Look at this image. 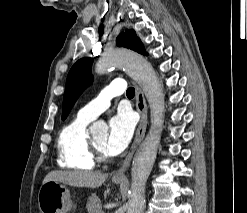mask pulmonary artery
I'll use <instances>...</instances> for the list:
<instances>
[{"mask_svg":"<svg viewBox=\"0 0 247 213\" xmlns=\"http://www.w3.org/2000/svg\"><path fill=\"white\" fill-rule=\"evenodd\" d=\"M125 89L124 80L122 78L115 79L101 91L97 98L79 110L78 117L92 121L110 106L113 97L121 95Z\"/></svg>","mask_w":247,"mask_h":213,"instance_id":"pulmonary-artery-1","label":"pulmonary artery"}]
</instances>
